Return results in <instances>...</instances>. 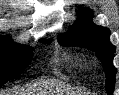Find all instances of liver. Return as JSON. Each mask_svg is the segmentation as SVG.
Returning <instances> with one entry per match:
<instances>
[{
	"label": "liver",
	"instance_id": "6515ba94",
	"mask_svg": "<svg viewBox=\"0 0 119 95\" xmlns=\"http://www.w3.org/2000/svg\"><path fill=\"white\" fill-rule=\"evenodd\" d=\"M55 88L60 95H69L72 94L69 88L63 86L62 84H56L53 82H40L36 85L28 86L26 90H13V91H6L0 92V95H34L33 93L37 88Z\"/></svg>",
	"mask_w": 119,
	"mask_h": 95
}]
</instances>
